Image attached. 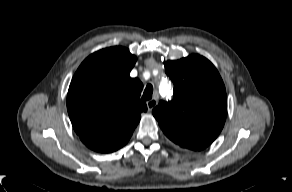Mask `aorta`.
Returning <instances> with one entry per match:
<instances>
[{
    "label": "aorta",
    "mask_w": 292,
    "mask_h": 192,
    "mask_svg": "<svg viewBox=\"0 0 292 192\" xmlns=\"http://www.w3.org/2000/svg\"><path fill=\"white\" fill-rule=\"evenodd\" d=\"M168 90V84H166V86L164 87V92L166 91L167 92Z\"/></svg>",
    "instance_id": "aorta-1"
}]
</instances>
